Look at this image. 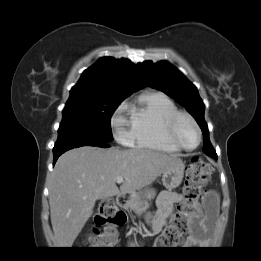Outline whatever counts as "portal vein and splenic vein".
Wrapping results in <instances>:
<instances>
[{
    "mask_svg": "<svg viewBox=\"0 0 261 261\" xmlns=\"http://www.w3.org/2000/svg\"><path fill=\"white\" fill-rule=\"evenodd\" d=\"M123 181H124V178H123V177H118L117 180H116V182H117L118 184H121Z\"/></svg>",
    "mask_w": 261,
    "mask_h": 261,
    "instance_id": "18ae733b",
    "label": "portal vein and splenic vein"
}]
</instances>
